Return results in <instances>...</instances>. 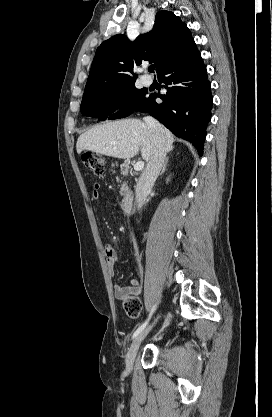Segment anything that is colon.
I'll use <instances>...</instances> for the list:
<instances>
[{
	"label": "colon",
	"instance_id": "obj_1",
	"mask_svg": "<svg viewBox=\"0 0 272 417\" xmlns=\"http://www.w3.org/2000/svg\"><path fill=\"white\" fill-rule=\"evenodd\" d=\"M82 161L95 175H102L105 171V159L97 153L85 152L82 155ZM123 307L127 315L135 319L140 316L142 303L138 297L129 296L125 298Z\"/></svg>",
	"mask_w": 272,
	"mask_h": 417
}]
</instances>
